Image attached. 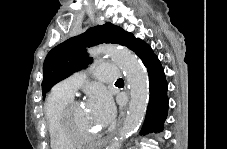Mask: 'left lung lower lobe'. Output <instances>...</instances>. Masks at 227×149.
I'll use <instances>...</instances> for the list:
<instances>
[{
	"label": "left lung lower lobe",
	"mask_w": 227,
	"mask_h": 149,
	"mask_svg": "<svg viewBox=\"0 0 227 149\" xmlns=\"http://www.w3.org/2000/svg\"><path fill=\"white\" fill-rule=\"evenodd\" d=\"M146 66L150 82V99L141 135L162 131L168 114L167 82L163 67L151 47L131 33L126 45Z\"/></svg>",
	"instance_id": "obj_1"
}]
</instances>
